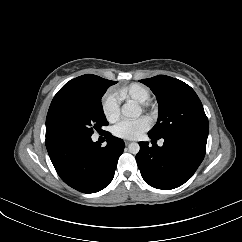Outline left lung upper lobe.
Listing matches in <instances>:
<instances>
[{
    "label": "left lung upper lobe",
    "mask_w": 242,
    "mask_h": 242,
    "mask_svg": "<svg viewBox=\"0 0 242 242\" xmlns=\"http://www.w3.org/2000/svg\"><path fill=\"white\" fill-rule=\"evenodd\" d=\"M140 82L150 87L159 104L157 123L148 135L156 139L189 133L208 135L207 116L200 99L189 85L165 75Z\"/></svg>",
    "instance_id": "1"
}]
</instances>
